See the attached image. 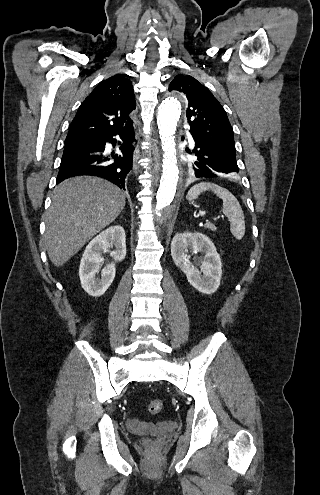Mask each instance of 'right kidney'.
Listing matches in <instances>:
<instances>
[{
	"label": "right kidney",
	"instance_id": "ca27d5eb",
	"mask_svg": "<svg viewBox=\"0 0 320 495\" xmlns=\"http://www.w3.org/2000/svg\"><path fill=\"white\" fill-rule=\"evenodd\" d=\"M114 246V250L109 248ZM110 252V255L117 262H121L126 256V236L123 227L116 225L107 228L97 235L87 245L79 267V277L81 286L86 293L93 297L103 295L110 287L115 278L116 267L112 262L107 264L102 270L104 262L103 253ZM101 270V278L96 274Z\"/></svg>",
	"mask_w": 320,
	"mask_h": 495
}]
</instances>
